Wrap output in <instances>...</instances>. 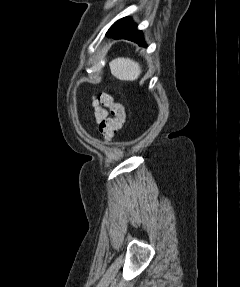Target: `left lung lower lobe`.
<instances>
[{"label":"left lung lower lobe","instance_id":"0a47b994","mask_svg":"<svg viewBox=\"0 0 240 287\" xmlns=\"http://www.w3.org/2000/svg\"><path fill=\"white\" fill-rule=\"evenodd\" d=\"M106 36L114 39L131 40L145 46L141 31L137 30L136 25L127 17L115 22L106 33Z\"/></svg>","mask_w":240,"mask_h":287}]
</instances>
